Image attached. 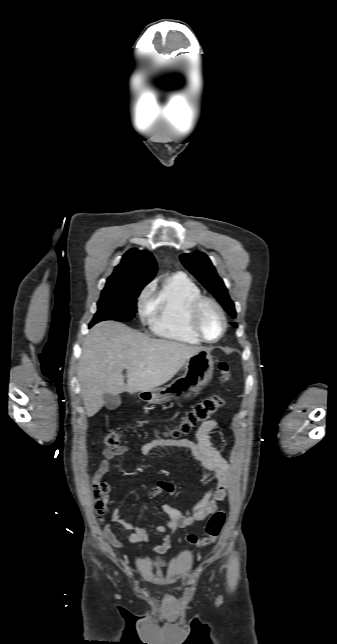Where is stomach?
<instances>
[{
    "label": "stomach",
    "instance_id": "0dacf381",
    "mask_svg": "<svg viewBox=\"0 0 337 644\" xmlns=\"http://www.w3.org/2000/svg\"><path fill=\"white\" fill-rule=\"evenodd\" d=\"M213 357L206 349L191 356L185 363L184 374L164 388L144 391L140 397L152 404H163L171 399L182 400L196 397L212 379Z\"/></svg>",
    "mask_w": 337,
    "mask_h": 644
}]
</instances>
